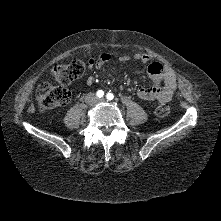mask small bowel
<instances>
[{
	"instance_id": "1",
	"label": "small bowel",
	"mask_w": 221,
	"mask_h": 221,
	"mask_svg": "<svg viewBox=\"0 0 221 221\" xmlns=\"http://www.w3.org/2000/svg\"><path fill=\"white\" fill-rule=\"evenodd\" d=\"M111 59L112 55L110 53L94 55L89 59V68H98ZM118 59L122 62L133 59L148 64L147 71L151 85L149 87L141 86L138 88L137 95L140 99L145 101L168 102L174 97L177 89V80L174 71L170 67L152 61L151 56L145 53H136L132 56L121 55ZM161 82H163L162 86L160 85ZM92 83L93 78H88L87 84Z\"/></svg>"
}]
</instances>
